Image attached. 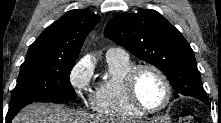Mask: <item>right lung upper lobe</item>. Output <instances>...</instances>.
<instances>
[{
  "mask_svg": "<svg viewBox=\"0 0 221 123\" xmlns=\"http://www.w3.org/2000/svg\"><path fill=\"white\" fill-rule=\"evenodd\" d=\"M100 20L88 10L68 11L29 46L27 56L77 58L83 42Z\"/></svg>",
  "mask_w": 221,
  "mask_h": 123,
  "instance_id": "right-lung-upper-lobe-1",
  "label": "right lung upper lobe"
}]
</instances>
